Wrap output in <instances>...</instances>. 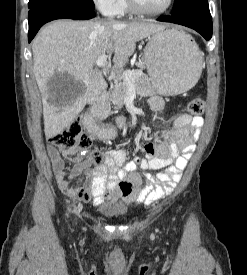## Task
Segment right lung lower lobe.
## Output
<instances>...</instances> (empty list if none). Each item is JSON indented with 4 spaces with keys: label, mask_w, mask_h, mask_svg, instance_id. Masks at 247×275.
I'll return each instance as SVG.
<instances>
[{
    "label": "right lung lower lobe",
    "mask_w": 247,
    "mask_h": 275,
    "mask_svg": "<svg viewBox=\"0 0 247 275\" xmlns=\"http://www.w3.org/2000/svg\"><path fill=\"white\" fill-rule=\"evenodd\" d=\"M93 17H95L94 10L70 7L64 4H50L32 8L28 14L29 42L34 38L40 27L49 21L63 18L87 20Z\"/></svg>",
    "instance_id": "right-lung-lower-lobe-1"
}]
</instances>
